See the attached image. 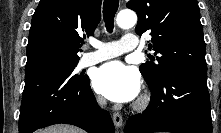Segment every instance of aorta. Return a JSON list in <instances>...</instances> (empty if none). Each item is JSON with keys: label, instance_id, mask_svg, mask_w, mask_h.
<instances>
[{"label": "aorta", "instance_id": "obj_1", "mask_svg": "<svg viewBox=\"0 0 221 133\" xmlns=\"http://www.w3.org/2000/svg\"><path fill=\"white\" fill-rule=\"evenodd\" d=\"M116 23L120 28H131L137 23V15L130 10L120 11L117 15Z\"/></svg>", "mask_w": 221, "mask_h": 133}]
</instances>
